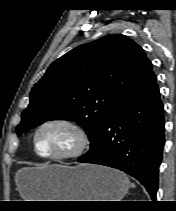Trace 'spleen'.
<instances>
[{
	"mask_svg": "<svg viewBox=\"0 0 176 211\" xmlns=\"http://www.w3.org/2000/svg\"><path fill=\"white\" fill-rule=\"evenodd\" d=\"M131 186H132V187H135V184H134V183H131Z\"/></svg>",
	"mask_w": 176,
	"mask_h": 211,
	"instance_id": "3e777b00",
	"label": "spleen"
}]
</instances>
